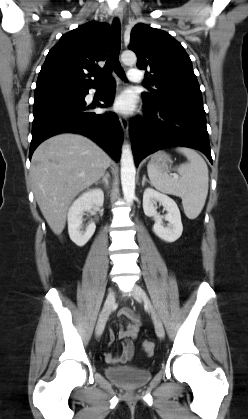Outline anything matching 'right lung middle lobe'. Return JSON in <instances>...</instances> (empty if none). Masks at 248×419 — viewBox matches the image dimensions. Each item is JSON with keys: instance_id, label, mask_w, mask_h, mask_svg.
Wrapping results in <instances>:
<instances>
[{"instance_id": "1", "label": "right lung middle lobe", "mask_w": 248, "mask_h": 419, "mask_svg": "<svg viewBox=\"0 0 248 419\" xmlns=\"http://www.w3.org/2000/svg\"><path fill=\"white\" fill-rule=\"evenodd\" d=\"M81 93H83V92H66L64 94H81Z\"/></svg>"}]
</instances>
